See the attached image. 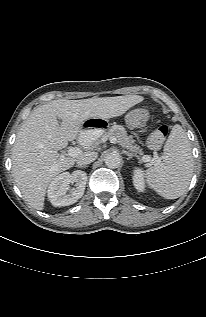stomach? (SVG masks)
<instances>
[{"label":"stomach","instance_id":"0dacf381","mask_svg":"<svg viewBox=\"0 0 206 317\" xmlns=\"http://www.w3.org/2000/svg\"><path fill=\"white\" fill-rule=\"evenodd\" d=\"M116 127L111 117H91L82 124L76 134V141L82 147H89L98 140L108 137Z\"/></svg>","mask_w":206,"mask_h":317}]
</instances>
